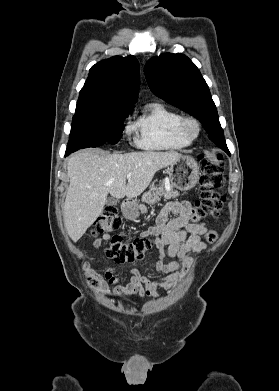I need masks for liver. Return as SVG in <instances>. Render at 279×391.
Masks as SVG:
<instances>
[{
	"mask_svg": "<svg viewBox=\"0 0 279 391\" xmlns=\"http://www.w3.org/2000/svg\"><path fill=\"white\" fill-rule=\"evenodd\" d=\"M182 157L178 152L107 154L86 151L74 154L67 164L70 184L63 219L68 235L77 242L102 214L107 196H139L155 173ZM131 177L126 184L127 174Z\"/></svg>",
	"mask_w": 279,
	"mask_h": 391,
	"instance_id": "obj_1",
	"label": "liver"
}]
</instances>
